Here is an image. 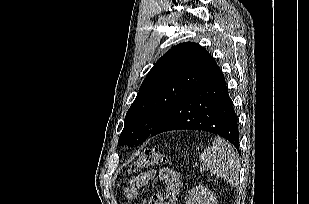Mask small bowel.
Wrapping results in <instances>:
<instances>
[{"instance_id":"small-bowel-1","label":"small bowel","mask_w":309,"mask_h":204,"mask_svg":"<svg viewBox=\"0 0 309 204\" xmlns=\"http://www.w3.org/2000/svg\"><path fill=\"white\" fill-rule=\"evenodd\" d=\"M162 181L166 184L163 193L155 194L148 204H176L181 189V176L171 168H152L136 176L125 188L124 194L128 199H137L140 196V189L149 181Z\"/></svg>"}]
</instances>
